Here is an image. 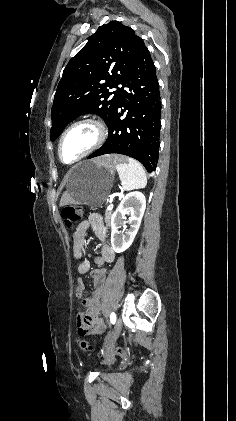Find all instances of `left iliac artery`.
Masks as SVG:
<instances>
[{
  "instance_id": "obj_1",
  "label": "left iliac artery",
  "mask_w": 236,
  "mask_h": 421,
  "mask_svg": "<svg viewBox=\"0 0 236 421\" xmlns=\"http://www.w3.org/2000/svg\"><path fill=\"white\" fill-rule=\"evenodd\" d=\"M110 322L112 324H115V322H116V314L114 312H112L111 315H110Z\"/></svg>"
}]
</instances>
